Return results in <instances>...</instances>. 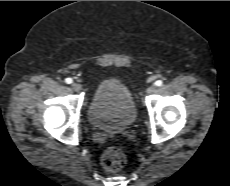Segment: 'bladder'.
Listing matches in <instances>:
<instances>
[{
  "mask_svg": "<svg viewBox=\"0 0 230 186\" xmlns=\"http://www.w3.org/2000/svg\"><path fill=\"white\" fill-rule=\"evenodd\" d=\"M136 117L134 100L124 85L112 79L99 83L88 109V119L93 127L119 133L130 128Z\"/></svg>",
  "mask_w": 230,
  "mask_h": 186,
  "instance_id": "bladder-1",
  "label": "bladder"
}]
</instances>
